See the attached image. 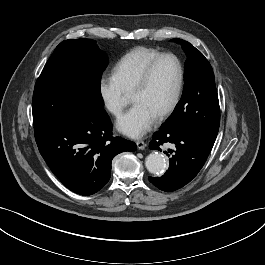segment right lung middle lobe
<instances>
[{
    "label": "right lung middle lobe",
    "mask_w": 265,
    "mask_h": 265,
    "mask_svg": "<svg viewBox=\"0 0 265 265\" xmlns=\"http://www.w3.org/2000/svg\"><path fill=\"white\" fill-rule=\"evenodd\" d=\"M106 54L92 39L61 42L39 76L33 94L34 130L60 118L80 103L103 107L101 76Z\"/></svg>",
    "instance_id": "dd1d6c3e"
}]
</instances>
